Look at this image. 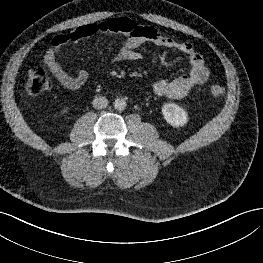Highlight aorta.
Instances as JSON below:
<instances>
[{"label": "aorta", "mask_w": 263, "mask_h": 263, "mask_svg": "<svg viewBox=\"0 0 263 263\" xmlns=\"http://www.w3.org/2000/svg\"><path fill=\"white\" fill-rule=\"evenodd\" d=\"M126 105V101L123 98H118L114 101V108L118 111H123Z\"/></svg>", "instance_id": "762f6f07"}]
</instances>
